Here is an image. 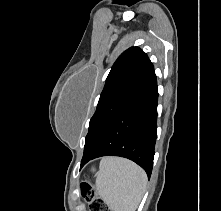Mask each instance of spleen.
Segmentation results:
<instances>
[{
	"label": "spleen",
	"instance_id": "3e777b00",
	"mask_svg": "<svg viewBox=\"0 0 221 211\" xmlns=\"http://www.w3.org/2000/svg\"><path fill=\"white\" fill-rule=\"evenodd\" d=\"M146 185V173L130 160L117 157L101 160L96 190L112 211H135Z\"/></svg>",
	"mask_w": 221,
	"mask_h": 211
}]
</instances>
